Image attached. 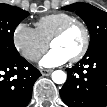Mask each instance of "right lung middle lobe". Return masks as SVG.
Here are the masks:
<instances>
[{"label":"right lung middle lobe","mask_w":107,"mask_h":107,"mask_svg":"<svg viewBox=\"0 0 107 107\" xmlns=\"http://www.w3.org/2000/svg\"><path fill=\"white\" fill-rule=\"evenodd\" d=\"M29 13L18 7L0 4V55L6 57L20 56L13 42V34L16 26Z\"/></svg>","instance_id":"obj_1"}]
</instances>
